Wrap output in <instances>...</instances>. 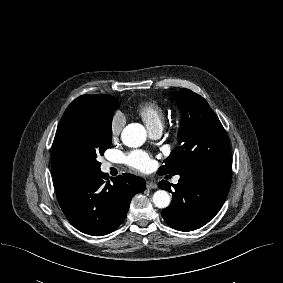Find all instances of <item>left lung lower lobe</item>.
<instances>
[{"mask_svg": "<svg viewBox=\"0 0 283 283\" xmlns=\"http://www.w3.org/2000/svg\"><path fill=\"white\" fill-rule=\"evenodd\" d=\"M178 184L164 180L161 189L172 192L170 206L163 210L166 223L179 231H192L208 223L222 207L231 185V175L179 174ZM171 186L174 188L171 190Z\"/></svg>", "mask_w": 283, "mask_h": 283, "instance_id": "0a47b994", "label": "left lung lower lobe"}]
</instances>
